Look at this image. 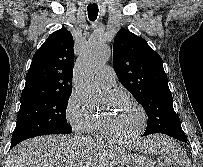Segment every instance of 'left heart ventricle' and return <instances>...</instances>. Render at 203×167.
<instances>
[{"mask_svg": "<svg viewBox=\"0 0 203 167\" xmlns=\"http://www.w3.org/2000/svg\"><path fill=\"white\" fill-rule=\"evenodd\" d=\"M100 118L107 129L116 136L126 137L135 132L140 123L137 110L120 98L114 100L112 108L103 112Z\"/></svg>", "mask_w": 203, "mask_h": 167, "instance_id": "b2bd125f", "label": "left heart ventricle"}]
</instances>
